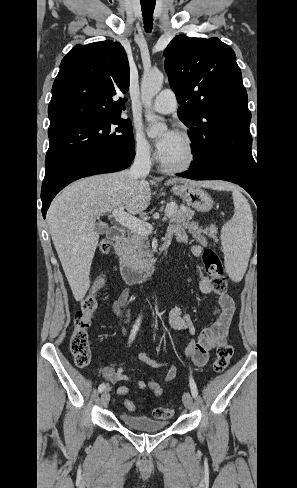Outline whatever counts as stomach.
Masks as SVG:
<instances>
[{"instance_id": "0dacf381", "label": "stomach", "mask_w": 297, "mask_h": 488, "mask_svg": "<svg viewBox=\"0 0 297 488\" xmlns=\"http://www.w3.org/2000/svg\"><path fill=\"white\" fill-rule=\"evenodd\" d=\"M172 191L199 212H208L213 206L211 196L200 186L178 184L172 187Z\"/></svg>"}]
</instances>
